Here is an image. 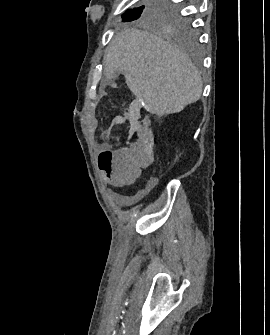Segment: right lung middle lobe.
<instances>
[{
	"instance_id": "obj_1",
	"label": "right lung middle lobe",
	"mask_w": 270,
	"mask_h": 335,
	"mask_svg": "<svg viewBox=\"0 0 270 335\" xmlns=\"http://www.w3.org/2000/svg\"><path fill=\"white\" fill-rule=\"evenodd\" d=\"M172 0H144V5L127 10L123 15V22L139 19L166 32L182 45H194L197 40L196 31L191 22L181 15V3Z\"/></svg>"
}]
</instances>
